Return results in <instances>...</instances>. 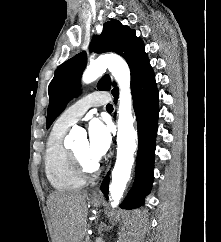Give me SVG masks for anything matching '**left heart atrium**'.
Wrapping results in <instances>:
<instances>
[{
  "label": "left heart atrium",
  "instance_id": "obj_1",
  "mask_svg": "<svg viewBox=\"0 0 221 242\" xmlns=\"http://www.w3.org/2000/svg\"><path fill=\"white\" fill-rule=\"evenodd\" d=\"M111 143L109 128L99 119H93L88 125V154L97 163L107 152Z\"/></svg>",
  "mask_w": 221,
  "mask_h": 242
}]
</instances>
